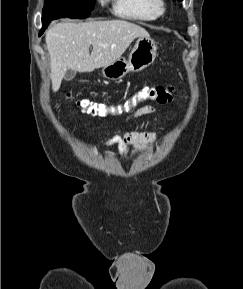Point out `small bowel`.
Masks as SVG:
<instances>
[{
    "mask_svg": "<svg viewBox=\"0 0 243 289\" xmlns=\"http://www.w3.org/2000/svg\"><path fill=\"white\" fill-rule=\"evenodd\" d=\"M155 111L156 109L153 106H143L135 110L129 116V119L151 114ZM157 139L158 133L154 131H118L109 139V142L117 145L118 157L124 158L128 154H135L140 150L153 149Z\"/></svg>",
    "mask_w": 243,
    "mask_h": 289,
    "instance_id": "small-bowel-1",
    "label": "small bowel"
}]
</instances>
